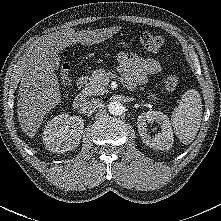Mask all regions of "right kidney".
Masks as SVG:
<instances>
[{"label": "right kidney", "mask_w": 221, "mask_h": 221, "mask_svg": "<svg viewBox=\"0 0 221 221\" xmlns=\"http://www.w3.org/2000/svg\"><path fill=\"white\" fill-rule=\"evenodd\" d=\"M84 120L80 116L61 114L50 120L43 132V142L49 151L63 153L80 143Z\"/></svg>", "instance_id": "right-kidney-1"}]
</instances>
